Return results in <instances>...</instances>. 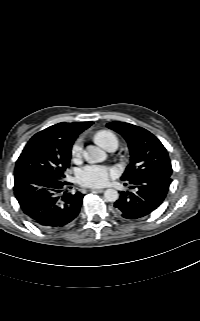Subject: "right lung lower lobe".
Segmentation results:
<instances>
[{
  "instance_id": "98d812e1",
  "label": "right lung lower lobe",
  "mask_w": 200,
  "mask_h": 321,
  "mask_svg": "<svg viewBox=\"0 0 200 321\" xmlns=\"http://www.w3.org/2000/svg\"><path fill=\"white\" fill-rule=\"evenodd\" d=\"M69 185L46 173L24 172L15 175L14 193L21 209L36 226L55 231L68 226L80 211L84 195L68 193Z\"/></svg>"
}]
</instances>
